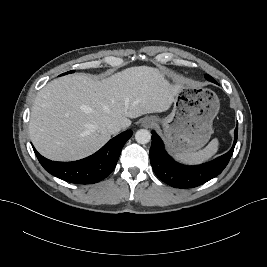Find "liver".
<instances>
[{"label": "liver", "mask_w": 267, "mask_h": 267, "mask_svg": "<svg viewBox=\"0 0 267 267\" xmlns=\"http://www.w3.org/2000/svg\"><path fill=\"white\" fill-rule=\"evenodd\" d=\"M180 87L148 66L127 68L101 81L86 74L55 79L34 100L31 141L51 160L84 158L110 139L108 124L119 122L127 128L129 118L168 110Z\"/></svg>", "instance_id": "1"}]
</instances>
